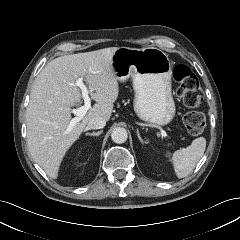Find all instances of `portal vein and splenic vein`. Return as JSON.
Here are the masks:
<instances>
[{
  "label": "portal vein and splenic vein",
  "instance_id": "18ae733b",
  "mask_svg": "<svg viewBox=\"0 0 240 240\" xmlns=\"http://www.w3.org/2000/svg\"><path fill=\"white\" fill-rule=\"evenodd\" d=\"M75 85L79 87L82 91V97L84 99V105L77 108V109H71V112L76 115L75 118H72L68 127V131H71L72 128L76 123H78L87 113V111L91 108V101L89 97L90 90L86 87V85L83 83V78H78L75 82ZM161 135L163 137H168L167 133L164 129H160Z\"/></svg>",
  "mask_w": 240,
  "mask_h": 240
}]
</instances>
